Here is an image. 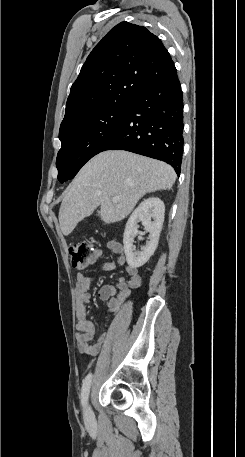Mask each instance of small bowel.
Returning a JSON list of instances; mask_svg holds the SVG:
<instances>
[{"label": "small bowel", "instance_id": "c3829d8e", "mask_svg": "<svg viewBox=\"0 0 245 457\" xmlns=\"http://www.w3.org/2000/svg\"><path fill=\"white\" fill-rule=\"evenodd\" d=\"M109 248L120 254L117 261L100 264L103 271H111L117 265L124 266L129 279L124 277L117 279L116 284H104L99 290V298L107 303L111 314L115 315L124 305L129 297L131 290L138 288L142 283V276L137 267L126 263L125 258L121 255L123 252L122 245L115 240L108 243ZM95 260V259H94ZM94 260L91 262L93 263ZM91 278L79 273L76 276V318L77 324V347L80 353L86 355H97L102 348L111 349L119 346L125 337L126 329L123 326L112 324L96 341H93L96 334L95 324L88 318L87 305L90 301Z\"/></svg>", "mask_w": 245, "mask_h": 457}]
</instances>
